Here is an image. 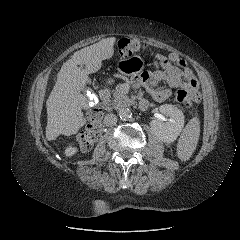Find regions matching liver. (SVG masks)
<instances>
[{"label": "liver", "instance_id": "obj_1", "mask_svg": "<svg viewBox=\"0 0 240 240\" xmlns=\"http://www.w3.org/2000/svg\"><path fill=\"white\" fill-rule=\"evenodd\" d=\"M116 38H105L76 51L57 74V81L47 101L46 138L55 140L59 135L76 134L86 124L82 108L86 98L81 91L90 83L89 74L96 73L105 59L114 54ZM85 65L81 70L78 65Z\"/></svg>", "mask_w": 240, "mask_h": 240}]
</instances>
